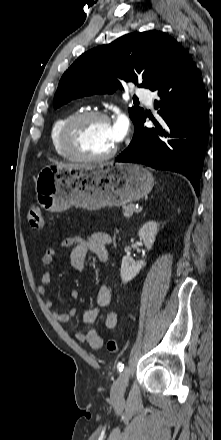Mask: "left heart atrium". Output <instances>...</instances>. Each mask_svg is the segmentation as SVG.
Segmentation results:
<instances>
[{
  "instance_id": "1",
  "label": "left heart atrium",
  "mask_w": 221,
  "mask_h": 440,
  "mask_svg": "<svg viewBox=\"0 0 221 440\" xmlns=\"http://www.w3.org/2000/svg\"><path fill=\"white\" fill-rule=\"evenodd\" d=\"M128 123L124 116H119L112 124V132L116 142L120 141L126 134Z\"/></svg>"
}]
</instances>
